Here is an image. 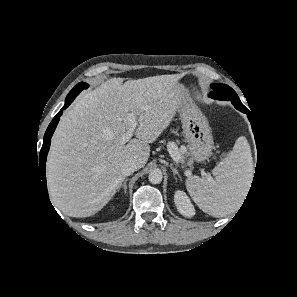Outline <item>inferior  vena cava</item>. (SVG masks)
Instances as JSON below:
<instances>
[{
	"mask_svg": "<svg viewBox=\"0 0 297 297\" xmlns=\"http://www.w3.org/2000/svg\"><path fill=\"white\" fill-rule=\"evenodd\" d=\"M139 168L137 163L135 161L129 160L126 161L122 166H121V174L123 177L131 175L134 171H136Z\"/></svg>",
	"mask_w": 297,
	"mask_h": 297,
	"instance_id": "1",
	"label": "inferior vena cava"
}]
</instances>
